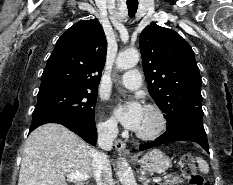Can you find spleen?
Listing matches in <instances>:
<instances>
[{
  "mask_svg": "<svg viewBox=\"0 0 233 185\" xmlns=\"http://www.w3.org/2000/svg\"><path fill=\"white\" fill-rule=\"evenodd\" d=\"M196 161L198 163L199 170L202 173L207 174L209 172V165L207 164V162L200 157H196Z\"/></svg>",
  "mask_w": 233,
  "mask_h": 185,
  "instance_id": "spleen-1",
  "label": "spleen"
}]
</instances>
